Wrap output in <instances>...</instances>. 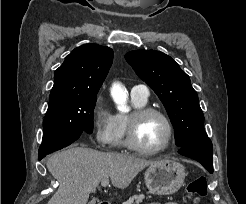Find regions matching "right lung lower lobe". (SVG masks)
<instances>
[{
	"mask_svg": "<svg viewBox=\"0 0 246 204\" xmlns=\"http://www.w3.org/2000/svg\"><path fill=\"white\" fill-rule=\"evenodd\" d=\"M45 157V156H44ZM43 156L39 158V160H41L42 158H44Z\"/></svg>",
	"mask_w": 246,
	"mask_h": 204,
	"instance_id": "obj_1",
	"label": "right lung lower lobe"
}]
</instances>
